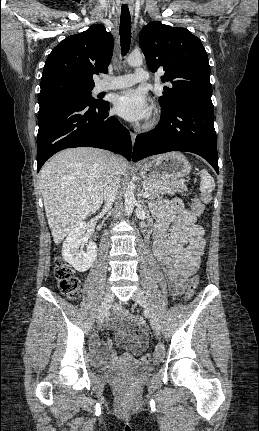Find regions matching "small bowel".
I'll return each instance as SVG.
<instances>
[{"mask_svg": "<svg viewBox=\"0 0 259 431\" xmlns=\"http://www.w3.org/2000/svg\"><path fill=\"white\" fill-rule=\"evenodd\" d=\"M154 212L159 218L154 230V255L161 265L170 293L177 296L184 291L186 279L200 267L206 246L205 232L197 224L193 211L185 209L179 199L158 202ZM124 321L132 330L126 329ZM111 325L118 343L131 354L138 356L146 348L148 331L144 318L118 309L117 318ZM92 344L98 359L111 356V341L103 344L95 337Z\"/></svg>", "mask_w": 259, "mask_h": 431, "instance_id": "1", "label": "small bowel"}]
</instances>
